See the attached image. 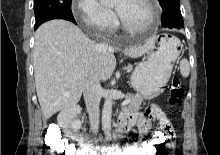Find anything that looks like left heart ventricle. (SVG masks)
Masks as SVG:
<instances>
[{"label":"left heart ventricle","mask_w":220,"mask_h":155,"mask_svg":"<svg viewBox=\"0 0 220 155\" xmlns=\"http://www.w3.org/2000/svg\"><path fill=\"white\" fill-rule=\"evenodd\" d=\"M114 8L132 27H142L150 18V10L144 0H116Z\"/></svg>","instance_id":"b2bd125f"}]
</instances>
